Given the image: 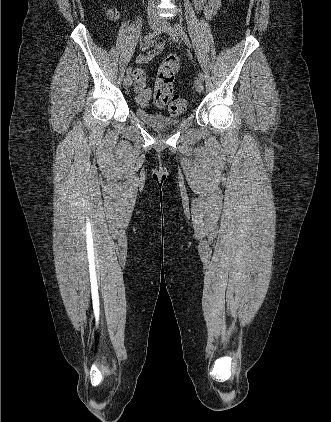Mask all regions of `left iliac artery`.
<instances>
[{
	"mask_svg": "<svg viewBox=\"0 0 331 422\" xmlns=\"http://www.w3.org/2000/svg\"><path fill=\"white\" fill-rule=\"evenodd\" d=\"M175 30L177 31L178 35L180 36V38L185 42V44L190 48L191 47V43L188 39L187 34L184 31V28L179 24V23H175L174 25ZM199 77L203 80V73L199 72Z\"/></svg>",
	"mask_w": 331,
	"mask_h": 422,
	"instance_id": "1",
	"label": "left iliac artery"
}]
</instances>
